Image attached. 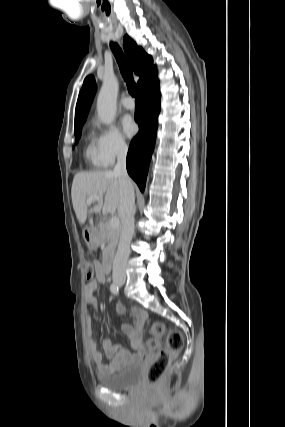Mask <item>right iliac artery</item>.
Wrapping results in <instances>:
<instances>
[{
    "label": "right iliac artery",
    "instance_id": "82829eb1",
    "mask_svg": "<svg viewBox=\"0 0 285 427\" xmlns=\"http://www.w3.org/2000/svg\"><path fill=\"white\" fill-rule=\"evenodd\" d=\"M110 290L114 295H118L119 294V288L116 284H111L110 286Z\"/></svg>",
    "mask_w": 285,
    "mask_h": 427
}]
</instances>
